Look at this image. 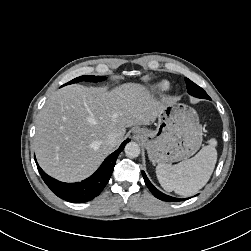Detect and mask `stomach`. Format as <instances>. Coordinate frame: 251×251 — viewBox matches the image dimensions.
Wrapping results in <instances>:
<instances>
[{
	"label": "stomach",
	"mask_w": 251,
	"mask_h": 251,
	"mask_svg": "<svg viewBox=\"0 0 251 251\" xmlns=\"http://www.w3.org/2000/svg\"><path fill=\"white\" fill-rule=\"evenodd\" d=\"M137 136L153 163H172L194 155L202 144V131L196 111L170 99L158 115L155 130L141 128Z\"/></svg>",
	"instance_id": "1"
}]
</instances>
